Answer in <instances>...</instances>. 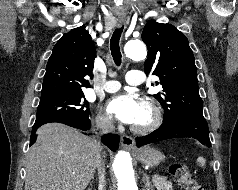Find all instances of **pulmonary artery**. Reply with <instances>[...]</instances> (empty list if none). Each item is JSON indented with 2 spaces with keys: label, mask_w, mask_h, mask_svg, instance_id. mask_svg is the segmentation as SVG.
Returning a JSON list of instances; mask_svg holds the SVG:
<instances>
[{
  "label": "pulmonary artery",
  "mask_w": 238,
  "mask_h": 190,
  "mask_svg": "<svg viewBox=\"0 0 238 190\" xmlns=\"http://www.w3.org/2000/svg\"><path fill=\"white\" fill-rule=\"evenodd\" d=\"M126 81L130 85L134 86L141 85L144 82V75L139 70H131L126 75ZM120 87L121 84L115 80H109L105 82L103 85V89L109 93L118 91Z\"/></svg>",
  "instance_id": "pulmonary-artery-1"
}]
</instances>
